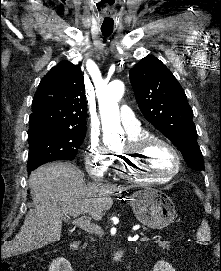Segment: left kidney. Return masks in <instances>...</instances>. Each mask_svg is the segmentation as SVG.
Wrapping results in <instances>:
<instances>
[{"mask_svg":"<svg viewBox=\"0 0 221 271\" xmlns=\"http://www.w3.org/2000/svg\"><path fill=\"white\" fill-rule=\"evenodd\" d=\"M153 271H175L174 267L168 263V261H164V259H160L157 261L153 267Z\"/></svg>","mask_w":221,"mask_h":271,"instance_id":"obj_1","label":"left kidney"}]
</instances>
